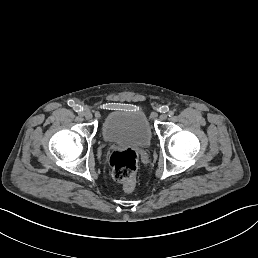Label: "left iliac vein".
I'll list each match as a JSON object with an SVG mask.
<instances>
[{
	"mask_svg": "<svg viewBox=\"0 0 258 258\" xmlns=\"http://www.w3.org/2000/svg\"><path fill=\"white\" fill-rule=\"evenodd\" d=\"M159 119H160L161 121H165V120L167 119V116L164 115V114H161V115L159 116Z\"/></svg>",
	"mask_w": 258,
	"mask_h": 258,
	"instance_id": "left-iliac-vein-1",
	"label": "left iliac vein"
}]
</instances>
